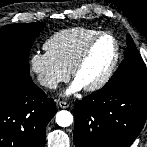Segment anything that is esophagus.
I'll return each instance as SVG.
<instances>
[{"label":"esophagus","instance_id":"obj_1","mask_svg":"<svg viewBox=\"0 0 147 147\" xmlns=\"http://www.w3.org/2000/svg\"><path fill=\"white\" fill-rule=\"evenodd\" d=\"M58 105H59L61 108H64V109L70 107V104L67 103V102H65V101H60V102L58 103Z\"/></svg>","mask_w":147,"mask_h":147}]
</instances>
